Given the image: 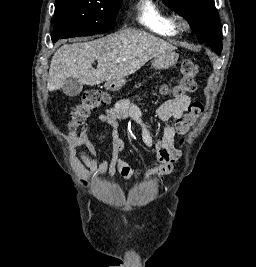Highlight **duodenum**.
Here are the masks:
<instances>
[{"label": "duodenum", "mask_w": 256, "mask_h": 267, "mask_svg": "<svg viewBox=\"0 0 256 267\" xmlns=\"http://www.w3.org/2000/svg\"><path fill=\"white\" fill-rule=\"evenodd\" d=\"M127 77L108 78L107 83H103L105 90H118L122 86H127Z\"/></svg>", "instance_id": "1"}]
</instances>
